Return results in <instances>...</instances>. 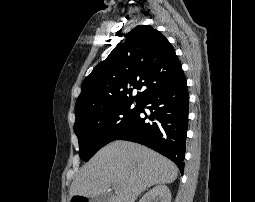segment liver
<instances>
[{"label": "liver", "mask_w": 255, "mask_h": 202, "mask_svg": "<svg viewBox=\"0 0 255 202\" xmlns=\"http://www.w3.org/2000/svg\"><path fill=\"white\" fill-rule=\"evenodd\" d=\"M178 168L159 153L128 141H114L100 149L80 170L70 196L94 198L112 185L110 202H135L138 195L157 184L176 180Z\"/></svg>", "instance_id": "liver-1"}]
</instances>
